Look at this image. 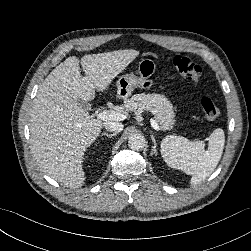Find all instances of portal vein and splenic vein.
Returning a JSON list of instances; mask_svg holds the SVG:
<instances>
[{
  "instance_id": "portal-vein-and-splenic-vein-1",
  "label": "portal vein and splenic vein",
  "mask_w": 251,
  "mask_h": 251,
  "mask_svg": "<svg viewBox=\"0 0 251 251\" xmlns=\"http://www.w3.org/2000/svg\"><path fill=\"white\" fill-rule=\"evenodd\" d=\"M98 119L106 121V120H114V121H121L127 118L126 112L121 111H113V110H104L97 115ZM151 126L153 129L159 131L160 127L156 120H151Z\"/></svg>"
}]
</instances>
